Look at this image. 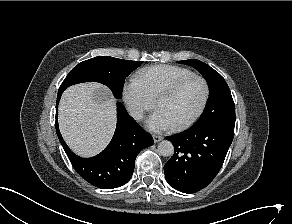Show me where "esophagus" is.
Segmentation results:
<instances>
[{
  "label": "esophagus",
  "instance_id": "obj_1",
  "mask_svg": "<svg viewBox=\"0 0 292 224\" xmlns=\"http://www.w3.org/2000/svg\"><path fill=\"white\" fill-rule=\"evenodd\" d=\"M153 139L155 143H158L163 139V137L160 135H153Z\"/></svg>",
  "mask_w": 292,
  "mask_h": 224
}]
</instances>
